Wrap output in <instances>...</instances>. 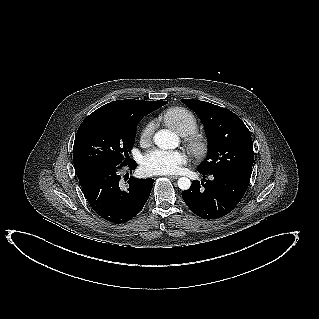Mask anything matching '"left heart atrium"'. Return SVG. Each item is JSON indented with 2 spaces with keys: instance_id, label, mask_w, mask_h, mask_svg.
Returning a JSON list of instances; mask_svg holds the SVG:
<instances>
[{
  "instance_id": "1",
  "label": "left heart atrium",
  "mask_w": 319,
  "mask_h": 319,
  "mask_svg": "<svg viewBox=\"0 0 319 319\" xmlns=\"http://www.w3.org/2000/svg\"><path fill=\"white\" fill-rule=\"evenodd\" d=\"M185 161V154L179 150L154 149L141 158L140 165L147 175H166L178 172Z\"/></svg>"
}]
</instances>
